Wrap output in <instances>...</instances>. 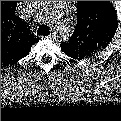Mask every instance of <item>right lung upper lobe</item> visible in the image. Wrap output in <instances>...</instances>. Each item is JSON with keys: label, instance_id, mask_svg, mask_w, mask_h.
Masks as SVG:
<instances>
[{"label": "right lung upper lobe", "instance_id": "obj_1", "mask_svg": "<svg viewBox=\"0 0 121 121\" xmlns=\"http://www.w3.org/2000/svg\"><path fill=\"white\" fill-rule=\"evenodd\" d=\"M17 2L1 1V61L13 62L28 54L37 40L16 17Z\"/></svg>", "mask_w": 121, "mask_h": 121}]
</instances>
